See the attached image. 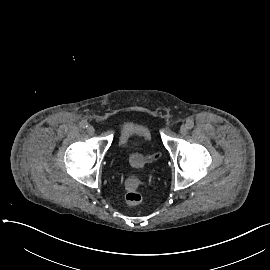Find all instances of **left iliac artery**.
Returning <instances> with one entry per match:
<instances>
[{"label": "left iliac artery", "instance_id": "44dca946", "mask_svg": "<svg viewBox=\"0 0 270 270\" xmlns=\"http://www.w3.org/2000/svg\"><path fill=\"white\" fill-rule=\"evenodd\" d=\"M186 127H187L188 129H192V128L194 127V122H193L192 120H188V121L186 122Z\"/></svg>", "mask_w": 270, "mask_h": 270}]
</instances>
